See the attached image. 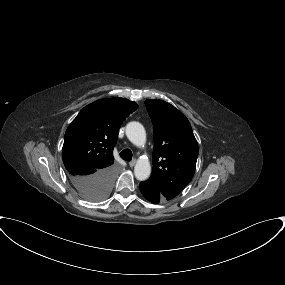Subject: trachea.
Listing matches in <instances>:
<instances>
[{"mask_svg": "<svg viewBox=\"0 0 285 285\" xmlns=\"http://www.w3.org/2000/svg\"><path fill=\"white\" fill-rule=\"evenodd\" d=\"M120 156L122 159L125 161H131L132 160V152L130 149H124L121 153Z\"/></svg>", "mask_w": 285, "mask_h": 285, "instance_id": "3493384b", "label": "trachea"}]
</instances>
